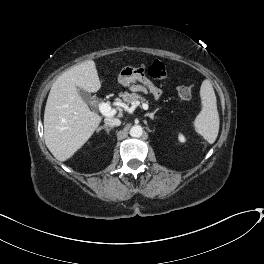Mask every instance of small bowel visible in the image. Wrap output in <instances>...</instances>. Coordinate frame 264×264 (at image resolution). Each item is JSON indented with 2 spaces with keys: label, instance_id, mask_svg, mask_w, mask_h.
<instances>
[{
  "label": "small bowel",
  "instance_id": "small-bowel-1",
  "mask_svg": "<svg viewBox=\"0 0 264 264\" xmlns=\"http://www.w3.org/2000/svg\"><path fill=\"white\" fill-rule=\"evenodd\" d=\"M150 91L152 92V94L156 98L160 97V95H161V91L158 88H156L155 86H150Z\"/></svg>",
  "mask_w": 264,
  "mask_h": 264
}]
</instances>
